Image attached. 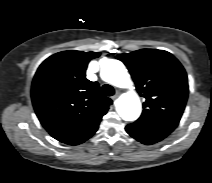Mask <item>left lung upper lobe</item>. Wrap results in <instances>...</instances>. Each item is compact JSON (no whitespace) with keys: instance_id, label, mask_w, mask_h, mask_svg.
Instances as JSON below:
<instances>
[{"instance_id":"5c2ea615","label":"left lung upper lobe","mask_w":212,"mask_h":183,"mask_svg":"<svg viewBox=\"0 0 212 183\" xmlns=\"http://www.w3.org/2000/svg\"><path fill=\"white\" fill-rule=\"evenodd\" d=\"M129 69L140 96L143 113L135 124L171 133L178 125L188 97L187 75L169 52L141 49L119 54Z\"/></svg>"}]
</instances>
